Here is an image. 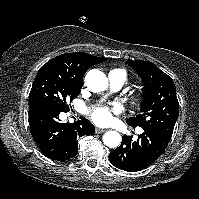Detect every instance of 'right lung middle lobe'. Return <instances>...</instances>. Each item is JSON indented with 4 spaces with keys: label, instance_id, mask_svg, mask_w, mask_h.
<instances>
[{
    "label": "right lung middle lobe",
    "instance_id": "right-lung-middle-lobe-1",
    "mask_svg": "<svg viewBox=\"0 0 199 199\" xmlns=\"http://www.w3.org/2000/svg\"><path fill=\"white\" fill-rule=\"evenodd\" d=\"M82 84L55 74L42 73L35 77L30 94L29 105L36 102H49L63 112L69 111L66 104L80 93Z\"/></svg>",
    "mask_w": 199,
    "mask_h": 199
}]
</instances>
